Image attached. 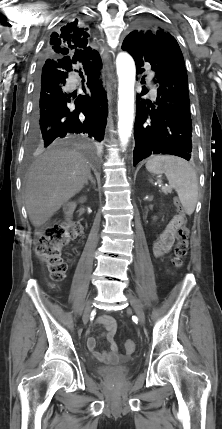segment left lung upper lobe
<instances>
[{
	"instance_id": "obj_1",
	"label": "left lung upper lobe",
	"mask_w": 222,
	"mask_h": 429,
	"mask_svg": "<svg viewBox=\"0 0 222 429\" xmlns=\"http://www.w3.org/2000/svg\"><path fill=\"white\" fill-rule=\"evenodd\" d=\"M165 32L162 29L143 27L139 30L132 31L124 40L122 49L129 51L131 45L137 42H146L149 50H155L157 44L162 42Z\"/></svg>"
}]
</instances>
